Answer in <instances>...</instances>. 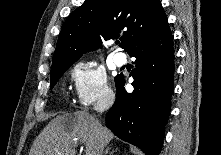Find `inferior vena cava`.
Listing matches in <instances>:
<instances>
[{
	"mask_svg": "<svg viewBox=\"0 0 221 155\" xmlns=\"http://www.w3.org/2000/svg\"><path fill=\"white\" fill-rule=\"evenodd\" d=\"M114 99H115L114 95L109 94L108 96L104 97L97 103L95 110L99 113H103L112 106Z\"/></svg>",
	"mask_w": 221,
	"mask_h": 155,
	"instance_id": "602c4592",
	"label": "inferior vena cava"
}]
</instances>
